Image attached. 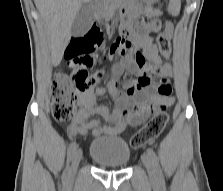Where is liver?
Returning <instances> with one entry per match:
<instances>
[{"instance_id": "6515ba94", "label": "liver", "mask_w": 223, "mask_h": 191, "mask_svg": "<svg viewBox=\"0 0 223 191\" xmlns=\"http://www.w3.org/2000/svg\"><path fill=\"white\" fill-rule=\"evenodd\" d=\"M92 0H35L49 38L52 64H60L63 53L70 42L74 18L83 3Z\"/></svg>"}]
</instances>
